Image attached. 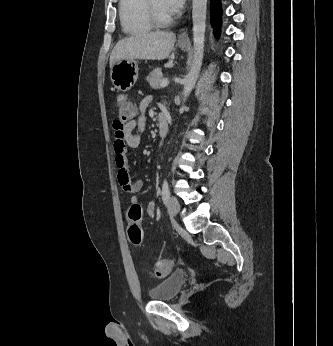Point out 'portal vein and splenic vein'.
I'll list each match as a JSON object with an SVG mask.
<instances>
[{
    "label": "portal vein and splenic vein",
    "mask_w": 333,
    "mask_h": 346,
    "mask_svg": "<svg viewBox=\"0 0 333 346\" xmlns=\"http://www.w3.org/2000/svg\"><path fill=\"white\" fill-rule=\"evenodd\" d=\"M168 84H169V79L168 78H163L161 83H160V86L161 87H166Z\"/></svg>",
    "instance_id": "portal-vein-and-splenic-vein-1"
}]
</instances>
